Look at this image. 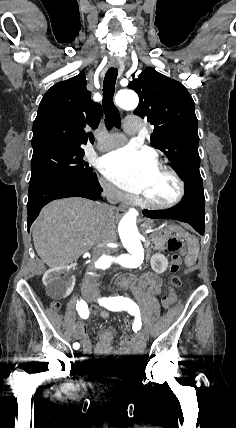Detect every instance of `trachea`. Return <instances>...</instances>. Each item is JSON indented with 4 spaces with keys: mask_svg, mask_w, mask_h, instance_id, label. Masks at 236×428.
I'll use <instances>...</instances> for the list:
<instances>
[{
    "mask_svg": "<svg viewBox=\"0 0 236 428\" xmlns=\"http://www.w3.org/2000/svg\"><path fill=\"white\" fill-rule=\"evenodd\" d=\"M117 75V68H109L103 82L102 106L105 113L104 121L108 130H110L113 126L119 128L121 125L120 113L113 102Z\"/></svg>",
    "mask_w": 236,
    "mask_h": 428,
    "instance_id": "trachea-1",
    "label": "trachea"
}]
</instances>
